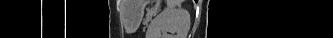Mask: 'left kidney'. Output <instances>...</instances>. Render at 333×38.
Instances as JSON below:
<instances>
[{"label": "left kidney", "mask_w": 333, "mask_h": 38, "mask_svg": "<svg viewBox=\"0 0 333 38\" xmlns=\"http://www.w3.org/2000/svg\"><path fill=\"white\" fill-rule=\"evenodd\" d=\"M190 14L183 8H166L151 22L147 38H186Z\"/></svg>", "instance_id": "obj_1"}]
</instances>
